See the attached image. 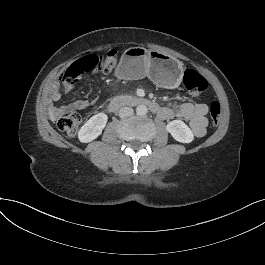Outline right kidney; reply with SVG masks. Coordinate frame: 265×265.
Wrapping results in <instances>:
<instances>
[{"mask_svg":"<svg viewBox=\"0 0 265 265\" xmlns=\"http://www.w3.org/2000/svg\"><path fill=\"white\" fill-rule=\"evenodd\" d=\"M107 120L108 116L104 113L92 116L78 132L80 142L88 143L96 139L105 128Z\"/></svg>","mask_w":265,"mask_h":265,"instance_id":"obj_1","label":"right kidney"}]
</instances>
